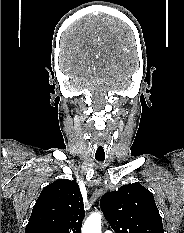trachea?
<instances>
[{
	"instance_id": "obj_1",
	"label": "trachea",
	"mask_w": 184,
	"mask_h": 233,
	"mask_svg": "<svg viewBox=\"0 0 184 233\" xmlns=\"http://www.w3.org/2000/svg\"><path fill=\"white\" fill-rule=\"evenodd\" d=\"M94 155L98 162H103L105 160L106 150L102 143L99 142L95 145Z\"/></svg>"
}]
</instances>
